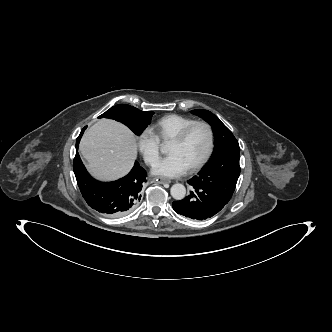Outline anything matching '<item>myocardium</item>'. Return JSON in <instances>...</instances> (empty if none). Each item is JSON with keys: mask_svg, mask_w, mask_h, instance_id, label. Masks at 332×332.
<instances>
[{"mask_svg": "<svg viewBox=\"0 0 332 332\" xmlns=\"http://www.w3.org/2000/svg\"><path fill=\"white\" fill-rule=\"evenodd\" d=\"M197 125H202V126L206 127V129L208 130V133H209V143H208V147H207L205 153L202 155V157L189 167V170H191V171H195V170L201 168L207 162V160L210 158V156L213 152L214 145H215V133H214V129H213L212 125L205 120H194L193 122L189 123L184 128H182L171 139L172 143H177V144L182 143L186 139L190 130Z\"/></svg>", "mask_w": 332, "mask_h": 332, "instance_id": "myocardium-1", "label": "myocardium"}]
</instances>
